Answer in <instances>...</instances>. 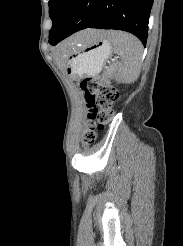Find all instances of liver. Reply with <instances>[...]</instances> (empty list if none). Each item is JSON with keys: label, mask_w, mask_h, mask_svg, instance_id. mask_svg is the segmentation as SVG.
<instances>
[{"label": "liver", "mask_w": 183, "mask_h": 246, "mask_svg": "<svg viewBox=\"0 0 183 246\" xmlns=\"http://www.w3.org/2000/svg\"><path fill=\"white\" fill-rule=\"evenodd\" d=\"M106 34L105 31H100V30H85L77 33L75 36L70 38L68 41H66L63 44V48L67 52L75 51L78 46L91 43L101 37H103Z\"/></svg>", "instance_id": "obj_1"}]
</instances>
